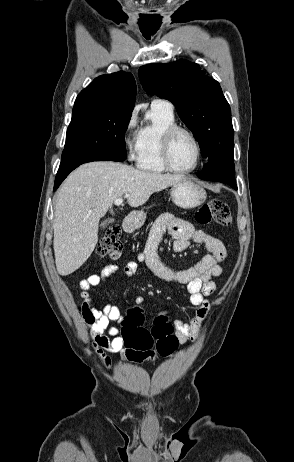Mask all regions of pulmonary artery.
<instances>
[{"mask_svg": "<svg viewBox=\"0 0 294 462\" xmlns=\"http://www.w3.org/2000/svg\"><path fill=\"white\" fill-rule=\"evenodd\" d=\"M152 105H162L173 110V105L167 100L155 99L152 101Z\"/></svg>", "mask_w": 294, "mask_h": 462, "instance_id": "pulmonary-artery-1", "label": "pulmonary artery"}]
</instances>
